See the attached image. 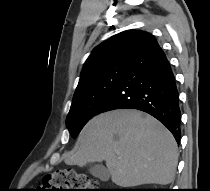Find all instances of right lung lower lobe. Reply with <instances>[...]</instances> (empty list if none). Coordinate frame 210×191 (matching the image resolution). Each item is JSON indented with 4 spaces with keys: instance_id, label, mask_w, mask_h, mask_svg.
Masks as SVG:
<instances>
[{
    "instance_id": "98d812e1",
    "label": "right lung lower lobe",
    "mask_w": 210,
    "mask_h": 191,
    "mask_svg": "<svg viewBox=\"0 0 210 191\" xmlns=\"http://www.w3.org/2000/svg\"><path fill=\"white\" fill-rule=\"evenodd\" d=\"M138 109L164 124L178 142L181 137L179 94L174 74L154 36L135 53L98 114Z\"/></svg>"
}]
</instances>
